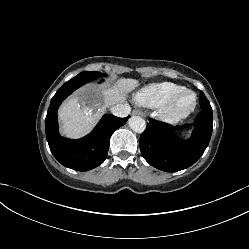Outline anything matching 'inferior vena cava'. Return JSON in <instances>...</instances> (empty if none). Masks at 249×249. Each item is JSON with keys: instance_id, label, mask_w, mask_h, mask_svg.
<instances>
[{"instance_id": "inferior-vena-cava-1", "label": "inferior vena cava", "mask_w": 249, "mask_h": 249, "mask_svg": "<svg viewBox=\"0 0 249 249\" xmlns=\"http://www.w3.org/2000/svg\"><path fill=\"white\" fill-rule=\"evenodd\" d=\"M110 111L113 115L117 117H126L129 115L131 108L129 104H116L110 108Z\"/></svg>"}]
</instances>
